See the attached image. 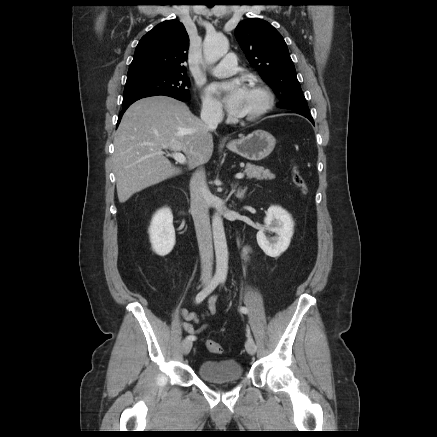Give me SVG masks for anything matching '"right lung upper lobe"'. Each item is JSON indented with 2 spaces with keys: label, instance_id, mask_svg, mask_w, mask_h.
Listing matches in <instances>:
<instances>
[{
  "label": "right lung upper lobe",
  "instance_id": "right-lung-upper-lobe-1",
  "mask_svg": "<svg viewBox=\"0 0 437 437\" xmlns=\"http://www.w3.org/2000/svg\"><path fill=\"white\" fill-rule=\"evenodd\" d=\"M189 37L182 23L166 20L139 41L128 72L159 71L186 74Z\"/></svg>",
  "mask_w": 437,
  "mask_h": 437
}]
</instances>
